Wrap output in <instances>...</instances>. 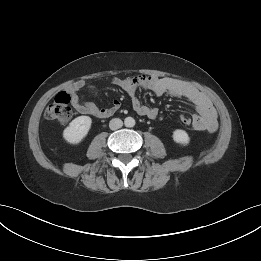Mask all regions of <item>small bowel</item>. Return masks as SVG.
Segmentation results:
<instances>
[{
    "instance_id": "1",
    "label": "small bowel",
    "mask_w": 261,
    "mask_h": 261,
    "mask_svg": "<svg viewBox=\"0 0 261 261\" xmlns=\"http://www.w3.org/2000/svg\"><path fill=\"white\" fill-rule=\"evenodd\" d=\"M113 84L128 94L133 110L140 116L150 119H155L158 116L156 108L143 105L136 95L138 89H145L159 96L170 95L189 101L196 110V113L192 116V127L194 130L214 132L218 127L217 112L208 97L195 87L181 80L150 75L114 78ZM85 86V82L79 81L68 88L70 102L78 113L92 115L97 118H106L119 109L120 102L118 100H114L108 108H99L93 102H82L78 92Z\"/></svg>"
}]
</instances>
